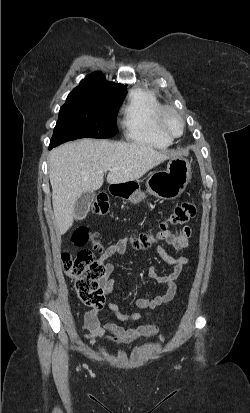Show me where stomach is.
I'll use <instances>...</instances> for the list:
<instances>
[{
	"mask_svg": "<svg viewBox=\"0 0 250 413\" xmlns=\"http://www.w3.org/2000/svg\"><path fill=\"white\" fill-rule=\"evenodd\" d=\"M191 177L190 162L179 155L171 157L166 171L151 175L147 182V193L153 194L162 200H173L181 196ZM123 184L117 194L133 204H139L146 198L137 181H128Z\"/></svg>",
	"mask_w": 250,
	"mask_h": 413,
	"instance_id": "1",
	"label": "stomach"
}]
</instances>
